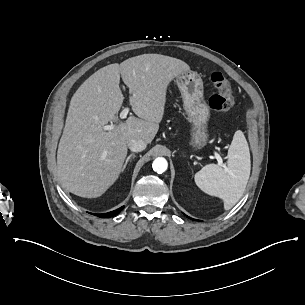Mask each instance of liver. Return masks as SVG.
Instances as JSON below:
<instances>
[{
  "label": "liver",
  "instance_id": "liver-1",
  "mask_svg": "<svg viewBox=\"0 0 305 305\" xmlns=\"http://www.w3.org/2000/svg\"><path fill=\"white\" fill-rule=\"evenodd\" d=\"M191 72L185 62L158 54L132 57L105 66L74 95L57 153L62 187L86 198L100 197L121 176L130 139L151 143L163 120L171 82ZM120 78L132 93L133 112L140 118L118 119L124 96ZM113 122L110 130L102 126Z\"/></svg>",
  "mask_w": 305,
  "mask_h": 305
}]
</instances>
